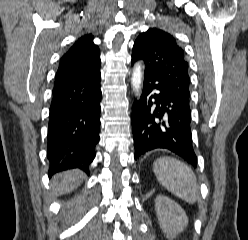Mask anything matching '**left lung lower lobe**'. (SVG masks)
<instances>
[{"mask_svg":"<svg viewBox=\"0 0 248 240\" xmlns=\"http://www.w3.org/2000/svg\"><path fill=\"white\" fill-rule=\"evenodd\" d=\"M154 90L157 93L153 94ZM132 131L136 160L148 151L164 148L192 166L197 165L192 145L189 98L180 96L146 72L142 95L132 110Z\"/></svg>","mask_w":248,"mask_h":240,"instance_id":"1","label":"left lung lower lobe"}]
</instances>
